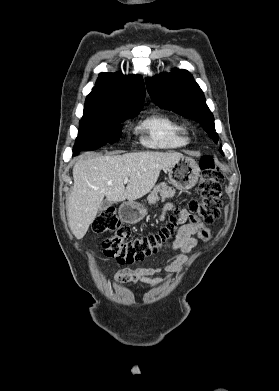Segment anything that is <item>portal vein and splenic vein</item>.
Wrapping results in <instances>:
<instances>
[{
    "label": "portal vein and splenic vein",
    "mask_w": 279,
    "mask_h": 391,
    "mask_svg": "<svg viewBox=\"0 0 279 391\" xmlns=\"http://www.w3.org/2000/svg\"><path fill=\"white\" fill-rule=\"evenodd\" d=\"M128 182V178H125L124 179V184H126Z\"/></svg>",
    "instance_id": "portal-vein-and-splenic-vein-1"
}]
</instances>
